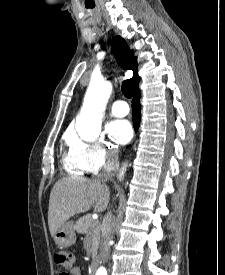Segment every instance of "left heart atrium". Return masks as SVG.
Returning <instances> with one entry per match:
<instances>
[{
	"instance_id": "obj_1",
	"label": "left heart atrium",
	"mask_w": 225,
	"mask_h": 275,
	"mask_svg": "<svg viewBox=\"0 0 225 275\" xmlns=\"http://www.w3.org/2000/svg\"><path fill=\"white\" fill-rule=\"evenodd\" d=\"M111 139L118 143H126L132 136V128L127 120L112 121L107 127Z\"/></svg>"
}]
</instances>
